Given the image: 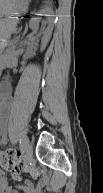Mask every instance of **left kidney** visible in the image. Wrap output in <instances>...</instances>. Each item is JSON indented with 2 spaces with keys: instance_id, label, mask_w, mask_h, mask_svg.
<instances>
[{
  "instance_id": "1",
  "label": "left kidney",
  "mask_w": 103,
  "mask_h": 193,
  "mask_svg": "<svg viewBox=\"0 0 103 193\" xmlns=\"http://www.w3.org/2000/svg\"><path fill=\"white\" fill-rule=\"evenodd\" d=\"M52 14H53V11L50 7H45L43 9H41L38 13H36V15L38 16H48V27L44 30L43 32V37H42V40H41V52L45 50L50 38H51V35H52V30H53V27H52ZM40 18H33L31 20V24H30V27L32 29H36V26L39 22Z\"/></svg>"
}]
</instances>
